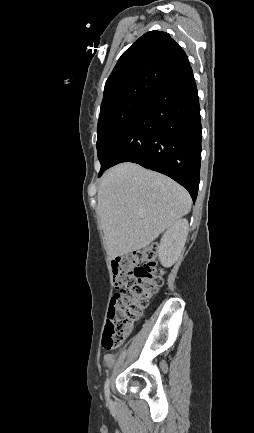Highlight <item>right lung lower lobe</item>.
I'll return each instance as SVG.
<instances>
[{
	"label": "right lung lower lobe",
	"mask_w": 254,
	"mask_h": 433,
	"mask_svg": "<svg viewBox=\"0 0 254 433\" xmlns=\"http://www.w3.org/2000/svg\"><path fill=\"white\" fill-rule=\"evenodd\" d=\"M200 106L190 66L148 100L113 147L103 171L134 162L184 186L195 202L200 181Z\"/></svg>",
	"instance_id": "right-lung-lower-lobe-1"
}]
</instances>
